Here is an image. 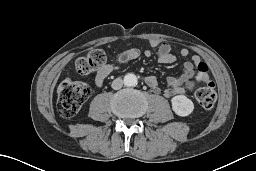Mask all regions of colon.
Returning a JSON list of instances; mask_svg holds the SVG:
<instances>
[{"label":"colon","instance_id":"colon-1","mask_svg":"<svg viewBox=\"0 0 256 171\" xmlns=\"http://www.w3.org/2000/svg\"><path fill=\"white\" fill-rule=\"evenodd\" d=\"M105 61L104 51L92 49L77 59L75 67L79 74L86 75L98 70L105 64ZM197 69V77L205 85L196 91L195 97L203 108L210 109L215 105L217 98L215 85L208 78V67L205 63L201 62ZM57 93V105L60 113L65 117H71L79 111L82 104L90 97L92 90L86 83L65 78L60 82Z\"/></svg>","mask_w":256,"mask_h":171}]
</instances>
